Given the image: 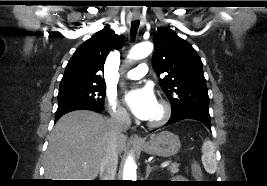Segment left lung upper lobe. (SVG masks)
Wrapping results in <instances>:
<instances>
[{
	"instance_id": "5c2ea615",
	"label": "left lung upper lobe",
	"mask_w": 267,
	"mask_h": 186,
	"mask_svg": "<svg viewBox=\"0 0 267 186\" xmlns=\"http://www.w3.org/2000/svg\"><path fill=\"white\" fill-rule=\"evenodd\" d=\"M152 66L157 76L168 73L159 84L172 104V113L187 109L208 111L209 96L203 64L194 48L169 28L154 34Z\"/></svg>"
}]
</instances>
